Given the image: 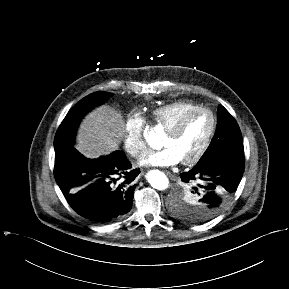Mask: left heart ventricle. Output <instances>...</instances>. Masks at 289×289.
Here are the masks:
<instances>
[{
  "mask_svg": "<svg viewBox=\"0 0 289 289\" xmlns=\"http://www.w3.org/2000/svg\"><path fill=\"white\" fill-rule=\"evenodd\" d=\"M212 125L207 113H198L192 116L183 130L176 136L165 133L162 145L172 148L181 160L192 156L206 139Z\"/></svg>",
  "mask_w": 289,
  "mask_h": 289,
  "instance_id": "b2bd125f",
  "label": "left heart ventricle"
}]
</instances>
